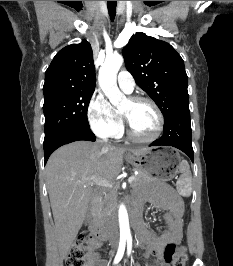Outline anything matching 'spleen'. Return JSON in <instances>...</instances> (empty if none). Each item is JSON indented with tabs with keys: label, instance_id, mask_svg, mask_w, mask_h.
I'll list each match as a JSON object with an SVG mask.
<instances>
[{
	"label": "spleen",
	"instance_id": "3e777b00",
	"mask_svg": "<svg viewBox=\"0 0 233 266\" xmlns=\"http://www.w3.org/2000/svg\"><path fill=\"white\" fill-rule=\"evenodd\" d=\"M182 175L177 182V191L180 195L187 197L192 192V178L187 161L183 160L179 165Z\"/></svg>",
	"mask_w": 233,
	"mask_h": 266
}]
</instances>
